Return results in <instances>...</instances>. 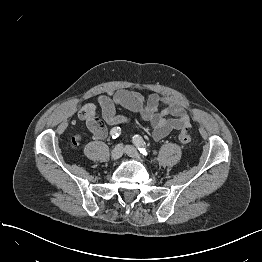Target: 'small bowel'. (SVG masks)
Wrapping results in <instances>:
<instances>
[{
	"mask_svg": "<svg viewBox=\"0 0 262 262\" xmlns=\"http://www.w3.org/2000/svg\"><path fill=\"white\" fill-rule=\"evenodd\" d=\"M162 103L165 106L161 108ZM97 104L102 110L104 121L112 126L131 123L134 120L131 115L117 113V107L137 114L151 125L152 136L155 140L166 137L173 130L190 126L191 123L184 102L174 95L164 98L152 93L148 98H145L135 91L109 89L104 95L97 98ZM76 115L86 123L94 139H103L107 136L106 127L96 117L95 104H84Z\"/></svg>",
	"mask_w": 262,
	"mask_h": 262,
	"instance_id": "obj_1",
	"label": "small bowel"
}]
</instances>
